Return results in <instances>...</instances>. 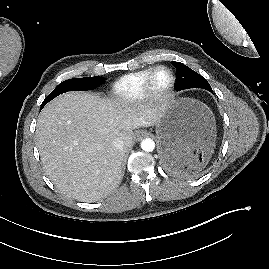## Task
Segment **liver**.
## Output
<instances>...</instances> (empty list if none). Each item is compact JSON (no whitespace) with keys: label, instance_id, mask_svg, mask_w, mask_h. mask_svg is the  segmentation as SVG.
<instances>
[{"label":"liver","instance_id":"6515ba94","mask_svg":"<svg viewBox=\"0 0 269 269\" xmlns=\"http://www.w3.org/2000/svg\"><path fill=\"white\" fill-rule=\"evenodd\" d=\"M162 106L130 104L85 92H68L48 103L37 120L36 145L50 180L64 195L97 201L121 181L133 130L155 125ZM123 149L112 146L115 138Z\"/></svg>","mask_w":269,"mask_h":269}]
</instances>
